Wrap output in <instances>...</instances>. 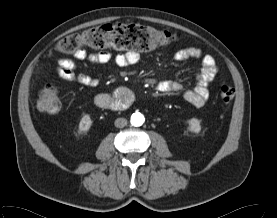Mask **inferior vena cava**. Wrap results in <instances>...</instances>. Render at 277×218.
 Returning a JSON list of instances; mask_svg holds the SVG:
<instances>
[{
	"mask_svg": "<svg viewBox=\"0 0 277 218\" xmlns=\"http://www.w3.org/2000/svg\"><path fill=\"white\" fill-rule=\"evenodd\" d=\"M117 128H123L127 125V120L125 118H117L114 122Z\"/></svg>",
	"mask_w": 277,
	"mask_h": 218,
	"instance_id": "602c4592",
	"label": "inferior vena cava"
}]
</instances>
